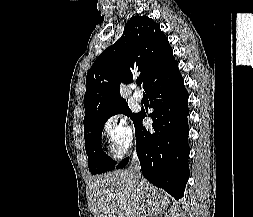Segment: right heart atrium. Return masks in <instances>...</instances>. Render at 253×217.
I'll return each instance as SVG.
<instances>
[{
  "mask_svg": "<svg viewBox=\"0 0 253 217\" xmlns=\"http://www.w3.org/2000/svg\"><path fill=\"white\" fill-rule=\"evenodd\" d=\"M102 134L115 158H121L133 142V131L129 120L121 113H114L105 120Z\"/></svg>",
  "mask_w": 253,
  "mask_h": 217,
  "instance_id": "d8ad5b80",
  "label": "right heart atrium"
}]
</instances>
